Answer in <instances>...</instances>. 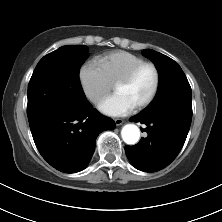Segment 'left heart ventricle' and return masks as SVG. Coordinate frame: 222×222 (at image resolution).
<instances>
[{
    "instance_id": "obj_1",
    "label": "left heart ventricle",
    "mask_w": 222,
    "mask_h": 222,
    "mask_svg": "<svg viewBox=\"0 0 222 222\" xmlns=\"http://www.w3.org/2000/svg\"><path fill=\"white\" fill-rule=\"evenodd\" d=\"M154 83V72L151 68L147 67L130 84L117 86L115 92L124 95L136 107L150 95Z\"/></svg>"
}]
</instances>
